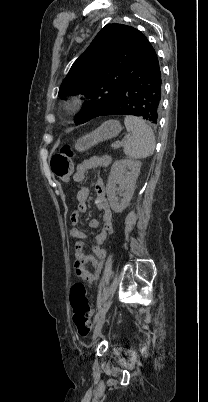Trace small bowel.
Returning a JSON list of instances; mask_svg holds the SVG:
<instances>
[{"instance_id":"small-bowel-1","label":"small bowel","mask_w":208,"mask_h":402,"mask_svg":"<svg viewBox=\"0 0 208 402\" xmlns=\"http://www.w3.org/2000/svg\"><path fill=\"white\" fill-rule=\"evenodd\" d=\"M110 163L111 158L109 156H94L88 158L77 165L73 173V180L78 183L83 182L86 180L87 172L89 170L106 167ZM95 189L97 193L96 204L102 212V231L96 238L97 244L93 249L94 256L86 255L82 250V241L84 240L85 235L76 227L80 220V214L87 211V199L90 193L87 186L77 190L75 195L77 210L70 215L71 223L75 226L72 228L70 235L77 243L74 248V266L77 274L88 284H93L99 279L103 266V259L106 256V250L101 245L107 239L108 235L114 231L113 213L106 201L105 183L101 175H97L96 177ZM98 226V220L93 219L90 221L91 228H97ZM87 264L91 265L92 271L87 268Z\"/></svg>"}]
</instances>
